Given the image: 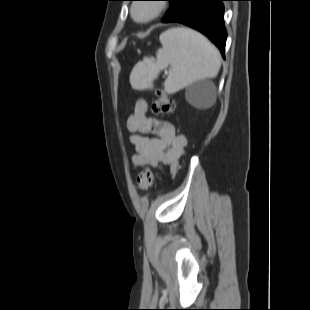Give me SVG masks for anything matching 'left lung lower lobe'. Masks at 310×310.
I'll return each mask as SVG.
<instances>
[{
  "label": "left lung lower lobe",
  "instance_id": "left-lung-lower-lobe-1",
  "mask_svg": "<svg viewBox=\"0 0 310 310\" xmlns=\"http://www.w3.org/2000/svg\"><path fill=\"white\" fill-rule=\"evenodd\" d=\"M222 1L228 0H186L172 22L187 25L203 33L219 48L224 58L227 32Z\"/></svg>",
  "mask_w": 310,
  "mask_h": 310
}]
</instances>
